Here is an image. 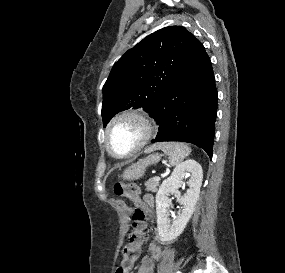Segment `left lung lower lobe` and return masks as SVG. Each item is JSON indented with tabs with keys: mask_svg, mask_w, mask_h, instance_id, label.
<instances>
[{
	"mask_svg": "<svg viewBox=\"0 0 285 273\" xmlns=\"http://www.w3.org/2000/svg\"><path fill=\"white\" fill-rule=\"evenodd\" d=\"M218 94L209 56L194 36L174 82L153 110L159 124L152 142L182 141L212 157Z\"/></svg>",
	"mask_w": 285,
	"mask_h": 273,
	"instance_id": "obj_1",
	"label": "left lung lower lobe"
}]
</instances>
